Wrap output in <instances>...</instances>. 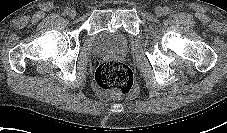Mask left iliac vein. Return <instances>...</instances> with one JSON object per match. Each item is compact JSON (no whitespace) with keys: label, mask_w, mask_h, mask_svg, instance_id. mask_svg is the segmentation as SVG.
<instances>
[{"label":"left iliac vein","mask_w":227,"mask_h":133,"mask_svg":"<svg viewBox=\"0 0 227 133\" xmlns=\"http://www.w3.org/2000/svg\"><path fill=\"white\" fill-rule=\"evenodd\" d=\"M155 13L158 15V16H162L165 14V9L161 6H158L156 7L155 9Z\"/></svg>","instance_id":"4c4485c4"}]
</instances>
